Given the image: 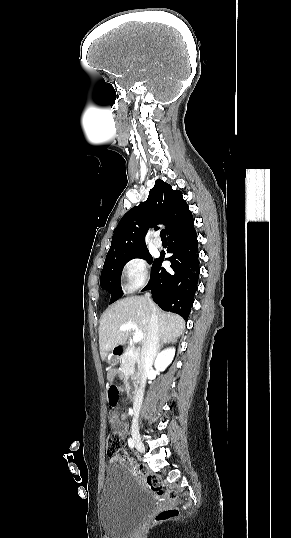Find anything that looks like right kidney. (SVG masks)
<instances>
[{"mask_svg": "<svg viewBox=\"0 0 291 538\" xmlns=\"http://www.w3.org/2000/svg\"><path fill=\"white\" fill-rule=\"evenodd\" d=\"M175 355V348H167L158 354L154 366L157 371H164L172 362Z\"/></svg>", "mask_w": 291, "mask_h": 538, "instance_id": "1", "label": "right kidney"}]
</instances>
